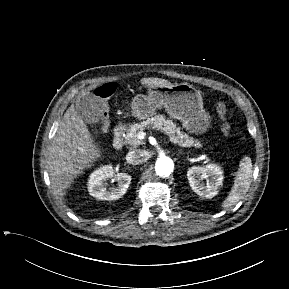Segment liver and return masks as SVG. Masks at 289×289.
<instances>
[{
    "mask_svg": "<svg viewBox=\"0 0 289 289\" xmlns=\"http://www.w3.org/2000/svg\"><path fill=\"white\" fill-rule=\"evenodd\" d=\"M141 83L148 88L172 86L169 81L160 78H143ZM100 153L83 117L76 106L71 105L59 123L50 147L48 171L54 194L63 196V191L73 179L90 168L101 157Z\"/></svg>",
    "mask_w": 289,
    "mask_h": 289,
    "instance_id": "6515ba94",
    "label": "liver"
}]
</instances>
